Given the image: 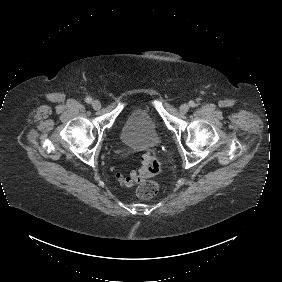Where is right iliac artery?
<instances>
[{
  "mask_svg": "<svg viewBox=\"0 0 282 282\" xmlns=\"http://www.w3.org/2000/svg\"><path fill=\"white\" fill-rule=\"evenodd\" d=\"M85 101H86V103H91L92 102V98L91 97H86Z\"/></svg>",
  "mask_w": 282,
  "mask_h": 282,
  "instance_id": "obj_1",
  "label": "right iliac artery"
}]
</instances>
